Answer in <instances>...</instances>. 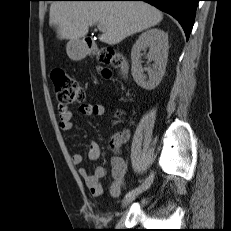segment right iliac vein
Segmentation results:
<instances>
[{"label": "right iliac vein", "instance_id": "right-iliac-vein-1", "mask_svg": "<svg viewBox=\"0 0 231 231\" xmlns=\"http://www.w3.org/2000/svg\"><path fill=\"white\" fill-rule=\"evenodd\" d=\"M154 180V172H151L148 178L140 185L139 189L130 195H127L123 200V207L129 205L138 195H140L142 192L146 191Z\"/></svg>", "mask_w": 231, "mask_h": 231}]
</instances>
